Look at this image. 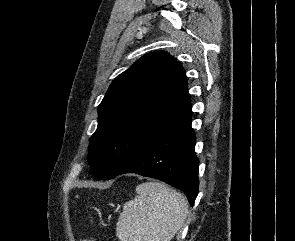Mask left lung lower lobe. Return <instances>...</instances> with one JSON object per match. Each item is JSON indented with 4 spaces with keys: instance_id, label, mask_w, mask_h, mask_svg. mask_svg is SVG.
I'll return each instance as SVG.
<instances>
[{
    "instance_id": "left-lung-lower-lobe-1",
    "label": "left lung lower lobe",
    "mask_w": 295,
    "mask_h": 241,
    "mask_svg": "<svg viewBox=\"0 0 295 241\" xmlns=\"http://www.w3.org/2000/svg\"><path fill=\"white\" fill-rule=\"evenodd\" d=\"M191 116L149 142L110 179L125 173L156 178L183 191L193 206L198 194L199 160Z\"/></svg>"
}]
</instances>
